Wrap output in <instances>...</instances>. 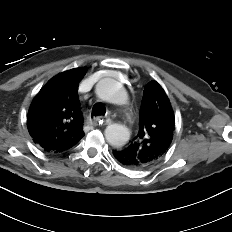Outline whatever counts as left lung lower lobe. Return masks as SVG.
<instances>
[{
  "mask_svg": "<svg viewBox=\"0 0 232 232\" xmlns=\"http://www.w3.org/2000/svg\"><path fill=\"white\" fill-rule=\"evenodd\" d=\"M113 156L116 159V161L119 162L121 165L130 169H138L137 161L124 148L114 150Z\"/></svg>",
  "mask_w": 232,
  "mask_h": 232,
  "instance_id": "0a47b994",
  "label": "left lung lower lobe"
}]
</instances>
